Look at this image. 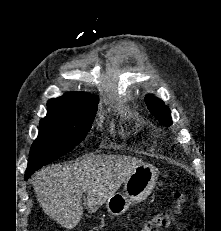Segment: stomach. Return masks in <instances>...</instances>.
<instances>
[{"instance_id":"stomach-1","label":"stomach","mask_w":221,"mask_h":231,"mask_svg":"<svg viewBox=\"0 0 221 231\" xmlns=\"http://www.w3.org/2000/svg\"><path fill=\"white\" fill-rule=\"evenodd\" d=\"M158 179V169L150 164H142L135 168L126 178L124 183V193H115L107 199L106 208L113 216L125 213L133 204H137L146 199Z\"/></svg>"}]
</instances>
